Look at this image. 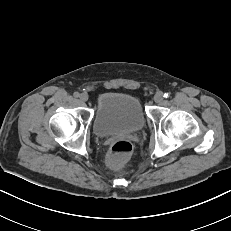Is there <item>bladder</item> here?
I'll use <instances>...</instances> for the list:
<instances>
[{"instance_id":"bladder-1","label":"bladder","mask_w":231,"mask_h":231,"mask_svg":"<svg viewBox=\"0 0 231 231\" xmlns=\"http://www.w3.org/2000/svg\"><path fill=\"white\" fill-rule=\"evenodd\" d=\"M145 124L139 100L123 93H104L96 101L93 131L97 136L132 133Z\"/></svg>"}]
</instances>
